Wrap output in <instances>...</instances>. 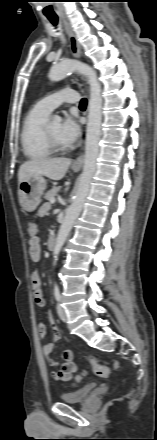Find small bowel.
<instances>
[{"label": "small bowel", "instance_id": "c3829d8e", "mask_svg": "<svg viewBox=\"0 0 157 440\" xmlns=\"http://www.w3.org/2000/svg\"><path fill=\"white\" fill-rule=\"evenodd\" d=\"M49 210V205L44 204L40 210L39 214L44 215ZM41 244L38 236L30 237L29 240V254L31 259L34 262H38L41 258ZM31 286L33 289V300L36 305L43 307L45 305V301L43 298V293L41 289V279L39 273L34 271L31 274ZM48 320L53 329V338L52 341L47 342L43 345V354L46 360V363L49 367L53 368L51 372V376L55 381H67L72 378L73 374L76 372L77 367L73 361V352L71 350H64L62 352V361L57 362L53 356V350L55 347V343L58 342L61 338V333L58 327L55 324L54 316L51 312H48ZM38 334L41 340H43L46 336V326L43 323L38 324Z\"/></svg>", "mask_w": 157, "mask_h": 440}]
</instances>
